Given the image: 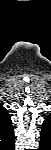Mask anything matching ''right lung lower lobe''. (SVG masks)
<instances>
[{"label":"right lung lower lobe","instance_id":"1","mask_svg":"<svg viewBox=\"0 0 51 150\" xmlns=\"http://www.w3.org/2000/svg\"><path fill=\"white\" fill-rule=\"evenodd\" d=\"M10 150H13L14 149V142L12 144V146L9 148Z\"/></svg>","mask_w":51,"mask_h":150}]
</instances>
